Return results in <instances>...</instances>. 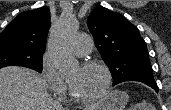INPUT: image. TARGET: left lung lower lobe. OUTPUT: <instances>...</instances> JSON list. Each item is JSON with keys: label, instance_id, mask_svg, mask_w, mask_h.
I'll return each instance as SVG.
<instances>
[{"label": "left lung lower lobe", "instance_id": "0a47b994", "mask_svg": "<svg viewBox=\"0 0 171 110\" xmlns=\"http://www.w3.org/2000/svg\"><path fill=\"white\" fill-rule=\"evenodd\" d=\"M139 82H142V83H144V84L150 86V87L153 88L156 92H158V90H159V89H158V86H157V84H156L155 81H139Z\"/></svg>", "mask_w": 171, "mask_h": 110}]
</instances>
